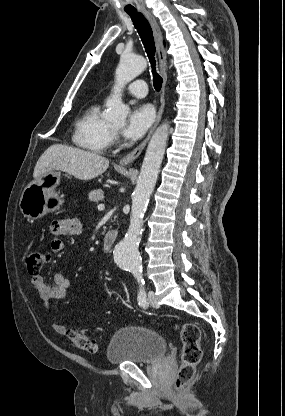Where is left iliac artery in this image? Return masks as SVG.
I'll return each instance as SVG.
<instances>
[{
	"label": "left iliac artery",
	"instance_id": "obj_1",
	"mask_svg": "<svg viewBox=\"0 0 285 416\" xmlns=\"http://www.w3.org/2000/svg\"><path fill=\"white\" fill-rule=\"evenodd\" d=\"M136 278H137L138 283L140 285L138 296H137L138 305L143 307V308H146V307H148V301L146 299L145 281H144V279L142 278L141 275H136Z\"/></svg>",
	"mask_w": 285,
	"mask_h": 416
}]
</instances>
